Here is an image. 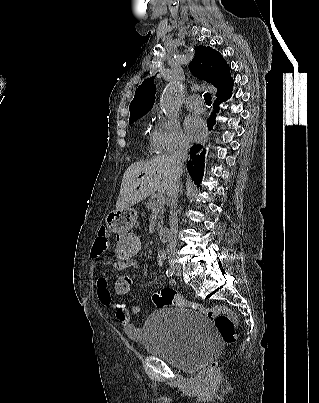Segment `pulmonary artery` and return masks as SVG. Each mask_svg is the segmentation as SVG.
<instances>
[{
	"label": "pulmonary artery",
	"instance_id": "obj_1",
	"mask_svg": "<svg viewBox=\"0 0 319 403\" xmlns=\"http://www.w3.org/2000/svg\"><path fill=\"white\" fill-rule=\"evenodd\" d=\"M187 107L192 111L201 112L205 109L203 99L199 95H192L187 99Z\"/></svg>",
	"mask_w": 319,
	"mask_h": 403
}]
</instances>
